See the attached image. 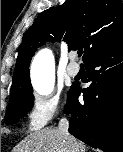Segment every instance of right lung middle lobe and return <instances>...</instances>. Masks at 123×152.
<instances>
[{
    "mask_svg": "<svg viewBox=\"0 0 123 152\" xmlns=\"http://www.w3.org/2000/svg\"><path fill=\"white\" fill-rule=\"evenodd\" d=\"M32 92V86L28 84L10 95L9 106L4 118L6 124L16 123L31 110L34 101Z\"/></svg>",
    "mask_w": 123,
    "mask_h": 152,
    "instance_id": "1",
    "label": "right lung middle lobe"
}]
</instances>
